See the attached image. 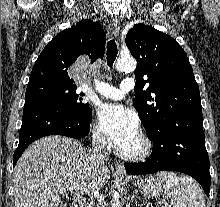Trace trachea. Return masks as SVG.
<instances>
[{
    "instance_id": "trachea-1",
    "label": "trachea",
    "mask_w": 220,
    "mask_h": 207,
    "mask_svg": "<svg viewBox=\"0 0 220 207\" xmlns=\"http://www.w3.org/2000/svg\"><path fill=\"white\" fill-rule=\"evenodd\" d=\"M117 54H118L117 45L115 40L112 39L107 43V65L109 67L113 66Z\"/></svg>"
}]
</instances>
